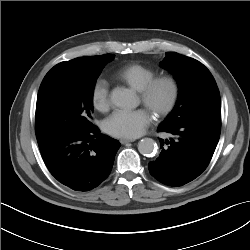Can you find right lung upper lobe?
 <instances>
[{
	"instance_id": "right-lung-upper-lobe-1",
	"label": "right lung upper lobe",
	"mask_w": 250,
	"mask_h": 250,
	"mask_svg": "<svg viewBox=\"0 0 250 250\" xmlns=\"http://www.w3.org/2000/svg\"><path fill=\"white\" fill-rule=\"evenodd\" d=\"M102 56L103 55L80 57L75 58L71 61L59 63L46 74L40 87H43L46 83L62 74L85 70L89 68L93 63H95L98 59H100Z\"/></svg>"
}]
</instances>
